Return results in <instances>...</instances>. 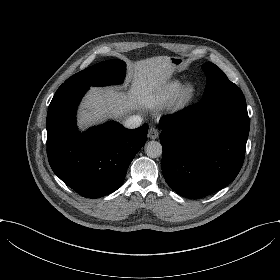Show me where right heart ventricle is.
<instances>
[{
	"instance_id": "e07e8e85",
	"label": "right heart ventricle",
	"mask_w": 280,
	"mask_h": 280,
	"mask_svg": "<svg viewBox=\"0 0 280 280\" xmlns=\"http://www.w3.org/2000/svg\"><path fill=\"white\" fill-rule=\"evenodd\" d=\"M183 85L181 79H173L167 82L159 92L149 97L148 103L151 106H162L172 102Z\"/></svg>"
}]
</instances>
